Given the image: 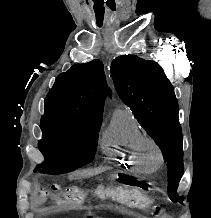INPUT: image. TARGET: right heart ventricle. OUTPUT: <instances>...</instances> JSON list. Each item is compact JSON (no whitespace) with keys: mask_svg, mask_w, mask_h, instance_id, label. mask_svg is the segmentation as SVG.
Returning <instances> with one entry per match:
<instances>
[{"mask_svg":"<svg viewBox=\"0 0 211 218\" xmlns=\"http://www.w3.org/2000/svg\"><path fill=\"white\" fill-rule=\"evenodd\" d=\"M141 126L130 108L117 109L102 133L103 156L119 169H146L139 160L142 140Z\"/></svg>","mask_w":211,"mask_h":218,"instance_id":"right-heart-ventricle-1","label":"right heart ventricle"}]
</instances>
